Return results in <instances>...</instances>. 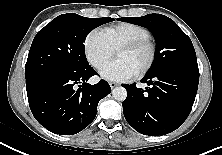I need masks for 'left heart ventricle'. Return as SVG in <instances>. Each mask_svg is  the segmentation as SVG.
I'll return each instance as SVG.
<instances>
[{
  "mask_svg": "<svg viewBox=\"0 0 222 155\" xmlns=\"http://www.w3.org/2000/svg\"><path fill=\"white\" fill-rule=\"evenodd\" d=\"M150 51L148 47H142L135 51H120L116 58L126 62L137 73L147 63Z\"/></svg>",
  "mask_w": 222,
  "mask_h": 155,
  "instance_id": "left-heart-ventricle-1",
  "label": "left heart ventricle"
}]
</instances>
